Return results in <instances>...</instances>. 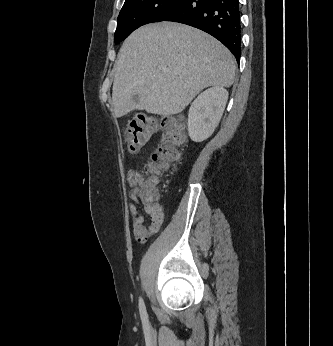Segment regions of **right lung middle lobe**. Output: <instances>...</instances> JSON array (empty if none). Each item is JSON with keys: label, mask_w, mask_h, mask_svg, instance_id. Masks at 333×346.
Returning a JSON list of instances; mask_svg holds the SVG:
<instances>
[{"label": "right lung middle lobe", "mask_w": 333, "mask_h": 346, "mask_svg": "<svg viewBox=\"0 0 333 346\" xmlns=\"http://www.w3.org/2000/svg\"><path fill=\"white\" fill-rule=\"evenodd\" d=\"M183 1L125 0L117 20L115 43H120L142 25L164 21Z\"/></svg>", "instance_id": "right-lung-middle-lobe-1"}]
</instances>
